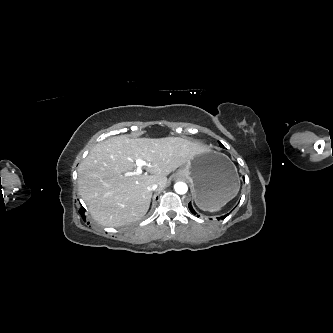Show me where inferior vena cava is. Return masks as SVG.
Instances as JSON below:
<instances>
[{"label":"inferior vena cava","instance_id":"inferior-vena-cava-1","mask_svg":"<svg viewBox=\"0 0 333 333\" xmlns=\"http://www.w3.org/2000/svg\"><path fill=\"white\" fill-rule=\"evenodd\" d=\"M157 188H158V185H157L156 183H153L152 185H150V186L148 187V189L151 190V191H154V190H156Z\"/></svg>","mask_w":333,"mask_h":333}]
</instances>
